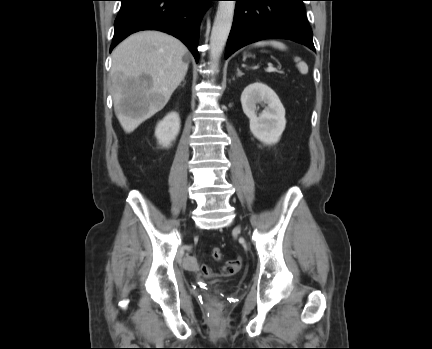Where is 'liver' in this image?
Instances as JSON below:
<instances>
[{
    "label": "liver",
    "mask_w": 432,
    "mask_h": 349,
    "mask_svg": "<svg viewBox=\"0 0 432 349\" xmlns=\"http://www.w3.org/2000/svg\"><path fill=\"white\" fill-rule=\"evenodd\" d=\"M187 53L181 41L159 31L134 33L113 50L114 110L125 132H133L165 107L187 73ZM126 100L134 105L129 113L121 107Z\"/></svg>",
    "instance_id": "1"
}]
</instances>
